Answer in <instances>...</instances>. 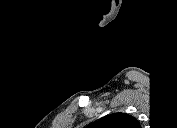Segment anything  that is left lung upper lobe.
<instances>
[{
  "instance_id": "obj_1",
  "label": "left lung upper lobe",
  "mask_w": 177,
  "mask_h": 128,
  "mask_svg": "<svg viewBox=\"0 0 177 128\" xmlns=\"http://www.w3.org/2000/svg\"><path fill=\"white\" fill-rule=\"evenodd\" d=\"M100 128H140L138 121L125 113L108 115L96 123Z\"/></svg>"
}]
</instances>
